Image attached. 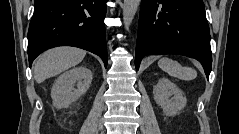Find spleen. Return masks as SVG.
<instances>
[{"instance_id": "3e777b00", "label": "spleen", "mask_w": 239, "mask_h": 134, "mask_svg": "<svg viewBox=\"0 0 239 134\" xmlns=\"http://www.w3.org/2000/svg\"><path fill=\"white\" fill-rule=\"evenodd\" d=\"M158 66L172 77L182 80H193L197 77V72L193 68L184 67L179 62L168 57H163L158 61Z\"/></svg>"}]
</instances>
